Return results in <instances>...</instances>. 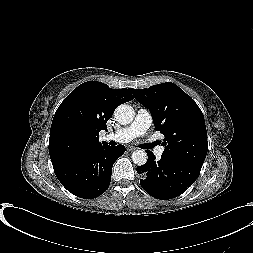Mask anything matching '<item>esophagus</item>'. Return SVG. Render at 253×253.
<instances>
[{
  "mask_svg": "<svg viewBox=\"0 0 253 253\" xmlns=\"http://www.w3.org/2000/svg\"><path fill=\"white\" fill-rule=\"evenodd\" d=\"M127 150H128V151H134V150H136V148L133 147V146H129V147L127 148Z\"/></svg>",
  "mask_w": 253,
  "mask_h": 253,
  "instance_id": "esophagus-1",
  "label": "esophagus"
}]
</instances>
